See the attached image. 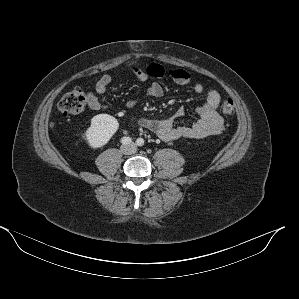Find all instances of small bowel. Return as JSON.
<instances>
[{
  "instance_id": "small-bowel-1",
  "label": "small bowel",
  "mask_w": 299,
  "mask_h": 299,
  "mask_svg": "<svg viewBox=\"0 0 299 299\" xmlns=\"http://www.w3.org/2000/svg\"><path fill=\"white\" fill-rule=\"evenodd\" d=\"M133 72L138 82L144 83L149 79L165 78L178 85L191 83V75L182 69H166L163 66L151 63L146 68L133 66ZM112 75H102L94 86V90L86 96V102L92 110L107 109L109 106L100 102L98 94H103L112 82ZM196 94L206 92L205 102L195 110L196 121L190 126H176L175 120L185 115L183 108H178L175 113L161 120L149 118H134V122L142 128L148 129L163 141H174L179 139H199L220 133L224 129V120L218 112L221 96L215 89H208L201 83L193 85ZM162 85L155 81L148 87L146 95L151 98H159L163 95ZM138 104L137 100L127 101V106L133 108Z\"/></svg>"
}]
</instances>
